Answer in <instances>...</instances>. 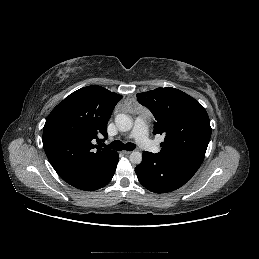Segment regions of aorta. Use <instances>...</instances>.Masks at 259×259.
<instances>
[{"label":"aorta","instance_id":"obj_1","mask_svg":"<svg viewBox=\"0 0 259 259\" xmlns=\"http://www.w3.org/2000/svg\"><path fill=\"white\" fill-rule=\"evenodd\" d=\"M115 124L119 131L127 132L131 130L133 126L132 118L126 114H118L115 117ZM130 162L132 164H140L142 161V153L139 151H133L129 156Z\"/></svg>","mask_w":259,"mask_h":259}]
</instances>
